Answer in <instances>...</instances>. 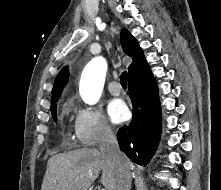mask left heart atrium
Segmentation results:
<instances>
[{
	"label": "left heart atrium",
	"instance_id": "1",
	"mask_svg": "<svg viewBox=\"0 0 221 190\" xmlns=\"http://www.w3.org/2000/svg\"><path fill=\"white\" fill-rule=\"evenodd\" d=\"M108 116L113 123H122L129 117V110L121 99L110 101L107 108Z\"/></svg>",
	"mask_w": 221,
	"mask_h": 190
}]
</instances>
